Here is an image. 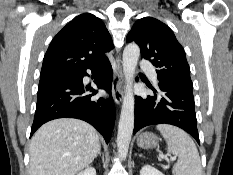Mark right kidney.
I'll use <instances>...</instances> for the list:
<instances>
[{
	"label": "right kidney",
	"mask_w": 233,
	"mask_h": 175,
	"mask_svg": "<svg viewBox=\"0 0 233 175\" xmlns=\"http://www.w3.org/2000/svg\"><path fill=\"white\" fill-rule=\"evenodd\" d=\"M77 175H96V170L93 167H88Z\"/></svg>",
	"instance_id": "obj_1"
}]
</instances>
